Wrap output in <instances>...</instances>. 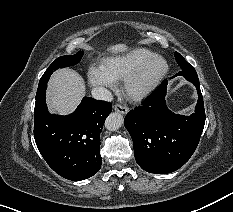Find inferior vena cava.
<instances>
[{
	"mask_svg": "<svg viewBox=\"0 0 233 212\" xmlns=\"http://www.w3.org/2000/svg\"><path fill=\"white\" fill-rule=\"evenodd\" d=\"M92 97L96 100L112 101V93L104 87H95L91 91Z\"/></svg>",
	"mask_w": 233,
	"mask_h": 212,
	"instance_id": "1",
	"label": "inferior vena cava"
}]
</instances>
